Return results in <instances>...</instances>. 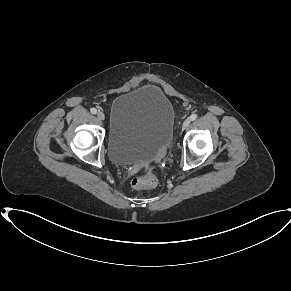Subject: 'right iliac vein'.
Wrapping results in <instances>:
<instances>
[{"instance_id":"1","label":"right iliac vein","mask_w":291,"mask_h":291,"mask_svg":"<svg viewBox=\"0 0 291 291\" xmlns=\"http://www.w3.org/2000/svg\"><path fill=\"white\" fill-rule=\"evenodd\" d=\"M97 117H98V119H100V120H104V119H105V115H104V113H103L102 111H99V112L97 113Z\"/></svg>"}]
</instances>
